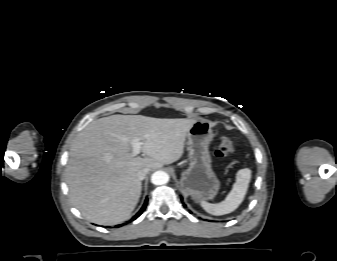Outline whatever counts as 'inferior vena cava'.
<instances>
[{
  "instance_id": "602c4592",
  "label": "inferior vena cava",
  "mask_w": 337,
  "mask_h": 261,
  "mask_svg": "<svg viewBox=\"0 0 337 261\" xmlns=\"http://www.w3.org/2000/svg\"><path fill=\"white\" fill-rule=\"evenodd\" d=\"M149 172L148 168H144L138 172V178L139 180H143L146 176V174Z\"/></svg>"
}]
</instances>
